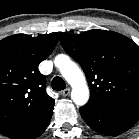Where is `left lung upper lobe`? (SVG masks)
Here are the masks:
<instances>
[{
    "instance_id": "1",
    "label": "left lung upper lobe",
    "mask_w": 139,
    "mask_h": 139,
    "mask_svg": "<svg viewBox=\"0 0 139 139\" xmlns=\"http://www.w3.org/2000/svg\"><path fill=\"white\" fill-rule=\"evenodd\" d=\"M59 37L85 72L91 92L87 105L115 108L139 102V46L134 41L105 30Z\"/></svg>"
}]
</instances>
